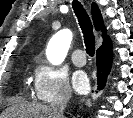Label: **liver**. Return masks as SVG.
<instances>
[{
	"label": "liver",
	"mask_w": 133,
	"mask_h": 118,
	"mask_svg": "<svg viewBox=\"0 0 133 118\" xmlns=\"http://www.w3.org/2000/svg\"><path fill=\"white\" fill-rule=\"evenodd\" d=\"M0 118H53L51 108L42 104H19L6 109Z\"/></svg>",
	"instance_id": "6515ba94"
}]
</instances>
